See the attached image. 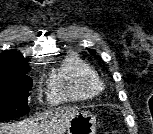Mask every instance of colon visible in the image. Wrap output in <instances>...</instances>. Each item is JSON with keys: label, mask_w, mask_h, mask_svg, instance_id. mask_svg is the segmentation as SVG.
<instances>
[{"label": "colon", "mask_w": 153, "mask_h": 134, "mask_svg": "<svg viewBox=\"0 0 153 134\" xmlns=\"http://www.w3.org/2000/svg\"><path fill=\"white\" fill-rule=\"evenodd\" d=\"M104 134H120V133H118L117 131H109V132H106Z\"/></svg>", "instance_id": "5ec220e1"}]
</instances>
